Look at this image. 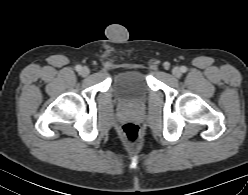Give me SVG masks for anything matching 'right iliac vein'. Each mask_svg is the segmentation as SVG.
<instances>
[{
    "mask_svg": "<svg viewBox=\"0 0 248 195\" xmlns=\"http://www.w3.org/2000/svg\"><path fill=\"white\" fill-rule=\"evenodd\" d=\"M89 73H90V70H89L88 67H83V68L81 69V74H82L83 76H87V75H89Z\"/></svg>",
    "mask_w": 248,
    "mask_h": 195,
    "instance_id": "obj_1",
    "label": "right iliac vein"
}]
</instances>
